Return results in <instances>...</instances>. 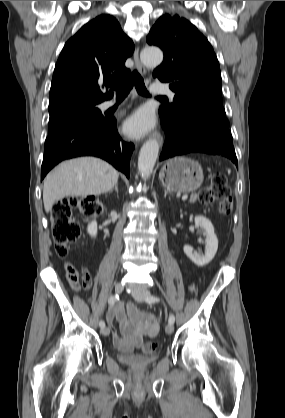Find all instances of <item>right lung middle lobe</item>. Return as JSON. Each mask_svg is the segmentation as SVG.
<instances>
[{"mask_svg":"<svg viewBox=\"0 0 285 418\" xmlns=\"http://www.w3.org/2000/svg\"><path fill=\"white\" fill-rule=\"evenodd\" d=\"M98 104L94 102L74 101L50 106L48 135L71 125L104 121L106 117L98 109Z\"/></svg>","mask_w":285,"mask_h":418,"instance_id":"dd1d6c3e","label":"right lung middle lobe"}]
</instances>
